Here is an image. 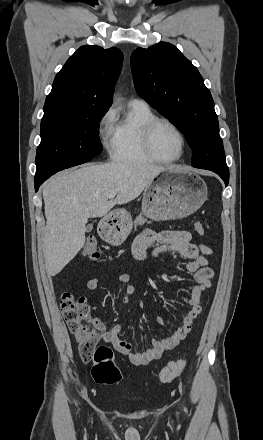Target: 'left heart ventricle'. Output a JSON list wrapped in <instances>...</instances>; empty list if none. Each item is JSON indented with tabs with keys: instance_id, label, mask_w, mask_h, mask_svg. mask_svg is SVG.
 <instances>
[{
	"instance_id": "left-heart-ventricle-1",
	"label": "left heart ventricle",
	"mask_w": 263,
	"mask_h": 440,
	"mask_svg": "<svg viewBox=\"0 0 263 440\" xmlns=\"http://www.w3.org/2000/svg\"><path fill=\"white\" fill-rule=\"evenodd\" d=\"M152 148L158 157L172 159L181 151V140L174 129L161 123L153 131Z\"/></svg>"
}]
</instances>
